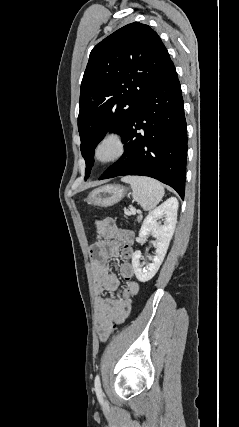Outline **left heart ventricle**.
I'll return each instance as SVG.
<instances>
[{
    "instance_id": "left-heart-ventricle-1",
    "label": "left heart ventricle",
    "mask_w": 239,
    "mask_h": 427,
    "mask_svg": "<svg viewBox=\"0 0 239 427\" xmlns=\"http://www.w3.org/2000/svg\"><path fill=\"white\" fill-rule=\"evenodd\" d=\"M116 152V145L113 142L105 143L99 150V156L102 159L112 157Z\"/></svg>"
}]
</instances>
